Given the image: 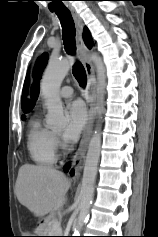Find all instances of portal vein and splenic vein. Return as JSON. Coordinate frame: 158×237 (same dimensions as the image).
Returning <instances> with one entry per match:
<instances>
[{"instance_id": "1", "label": "portal vein and splenic vein", "mask_w": 158, "mask_h": 237, "mask_svg": "<svg viewBox=\"0 0 158 237\" xmlns=\"http://www.w3.org/2000/svg\"><path fill=\"white\" fill-rule=\"evenodd\" d=\"M53 223H54V227L58 228V230L61 232L62 229H61L60 223L56 220H53Z\"/></svg>"}]
</instances>
